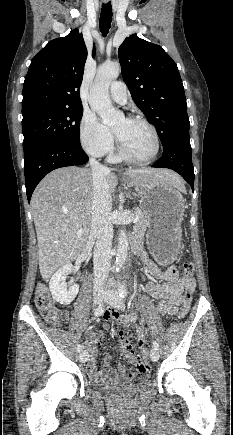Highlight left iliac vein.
I'll use <instances>...</instances> for the list:
<instances>
[{"label":"left iliac vein","instance_id":"4c4485c4","mask_svg":"<svg viewBox=\"0 0 233 435\" xmlns=\"http://www.w3.org/2000/svg\"><path fill=\"white\" fill-rule=\"evenodd\" d=\"M104 301L118 310H122L124 308V302L116 291H110V292L105 293ZM150 358L152 361H158V359H159L158 350L151 349Z\"/></svg>","mask_w":233,"mask_h":435}]
</instances>
